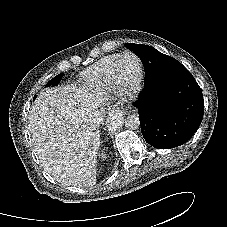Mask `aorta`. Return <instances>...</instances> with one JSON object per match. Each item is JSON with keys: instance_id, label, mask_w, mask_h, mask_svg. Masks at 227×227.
Masks as SVG:
<instances>
[{"instance_id": "aorta-1", "label": "aorta", "mask_w": 227, "mask_h": 227, "mask_svg": "<svg viewBox=\"0 0 227 227\" xmlns=\"http://www.w3.org/2000/svg\"><path fill=\"white\" fill-rule=\"evenodd\" d=\"M107 124L114 130L120 128L122 125H125L128 129L135 130L139 128L140 121L137 115H128L124 118L120 111L115 110L109 113Z\"/></svg>"}]
</instances>
